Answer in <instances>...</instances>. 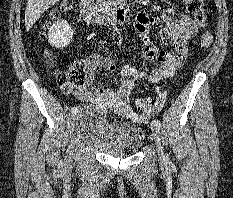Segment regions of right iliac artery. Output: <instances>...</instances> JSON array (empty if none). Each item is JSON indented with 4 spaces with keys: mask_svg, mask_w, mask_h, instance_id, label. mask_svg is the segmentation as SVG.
Listing matches in <instances>:
<instances>
[{
    "mask_svg": "<svg viewBox=\"0 0 233 198\" xmlns=\"http://www.w3.org/2000/svg\"><path fill=\"white\" fill-rule=\"evenodd\" d=\"M78 106L72 107V114H76L78 112Z\"/></svg>",
    "mask_w": 233,
    "mask_h": 198,
    "instance_id": "82829eb1",
    "label": "right iliac artery"
}]
</instances>
